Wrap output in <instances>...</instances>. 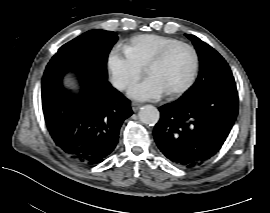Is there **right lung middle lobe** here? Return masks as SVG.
<instances>
[{"label": "right lung middle lobe", "mask_w": 270, "mask_h": 213, "mask_svg": "<svg viewBox=\"0 0 270 213\" xmlns=\"http://www.w3.org/2000/svg\"><path fill=\"white\" fill-rule=\"evenodd\" d=\"M117 39L115 32L90 30L60 47L48 63L45 73L73 71L107 79L108 53Z\"/></svg>", "instance_id": "dd1d6c3e"}]
</instances>
